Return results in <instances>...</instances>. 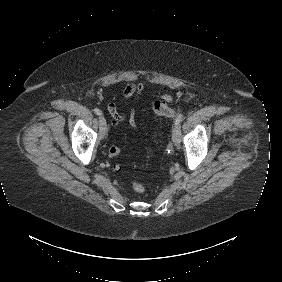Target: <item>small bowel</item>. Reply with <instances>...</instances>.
Listing matches in <instances>:
<instances>
[{
  "label": "small bowel",
  "mask_w": 282,
  "mask_h": 282,
  "mask_svg": "<svg viewBox=\"0 0 282 282\" xmlns=\"http://www.w3.org/2000/svg\"><path fill=\"white\" fill-rule=\"evenodd\" d=\"M144 89V83H128L122 91V96L125 100L130 102V106L125 111H119L117 106L113 102H109L107 109L112 117V124L119 126L124 122H128L132 127H137V121L135 118L136 105L138 104L142 91ZM165 97L169 103L172 101V97L169 95H157Z\"/></svg>",
  "instance_id": "1"
}]
</instances>
